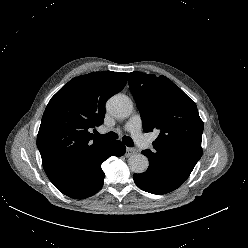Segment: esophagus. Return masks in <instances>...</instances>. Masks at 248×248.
Returning <instances> with one entry per match:
<instances>
[{
  "instance_id": "obj_1",
  "label": "esophagus",
  "mask_w": 248,
  "mask_h": 248,
  "mask_svg": "<svg viewBox=\"0 0 248 248\" xmlns=\"http://www.w3.org/2000/svg\"><path fill=\"white\" fill-rule=\"evenodd\" d=\"M137 152V150L135 149V148H127L126 149V155L127 156H131V155H133V154H135Z\"/></svg>"
}]
</instances>
